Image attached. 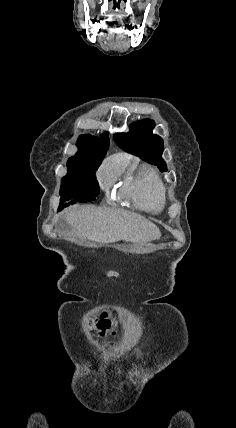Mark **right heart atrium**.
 I'll use <instances>...</instances> for the list:
<instances>
[{"mask_svg":"<svg viewBox=\"0 0 236 428\" xmlns=\"http://www.w3.org/2000/svg\"><path fill=\"white\" fill-rule=\"evenodd\" d=\"M99 183L101 189L108 194L113 187L114 180L106 168H103L99 173Z\"/></svg>","mask_w":236,"mask_h":428,"instance_id":"right-heart-atrium-1","label":"right heart atrium"}]
</instances>
